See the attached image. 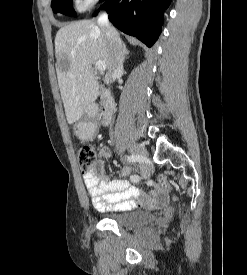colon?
<instances>
[{"mask_svg": "<svg viewBox=\"0 0 247 275\" xmlns=\"http://www.w3.org/2000/svg\"><path fill=\"white\" fill-rule=\"evenodd\" d=\"M96 161V154L90 146H83L78 152V164L82 173H87ZM161 182L170 189L165 177L160 178Z\"/></svg>", "mask_w": 247, "mask_h": 275, "instance_id": "1", "label": "colon"}]
</instances>
